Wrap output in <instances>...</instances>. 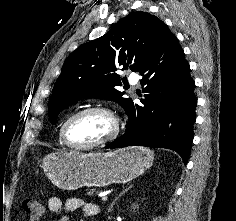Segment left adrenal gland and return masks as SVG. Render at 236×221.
<instances>
[{"label": "left adrenal gland", "instance_id": "obj_1", "mask_svg": "<svg viewBox=\"0 0 236 221\" xmlns=\"http://www.w3.org/2000/svg\"><path fill=\"white\" fill-rule=\"evenodd\" d=\"M132 186H133V185H131V186H129L128 188H126L125 190H123V192H121V194H119V196H118L117 198H115V200L112 202V204H111L110 207H109V212L112 211L113 206H114L115 202L118 200V198H119L121 195H123L125 192H127Z\"/></svg>", "mask_w": 236, "mask_h": 221}]
</instances>
